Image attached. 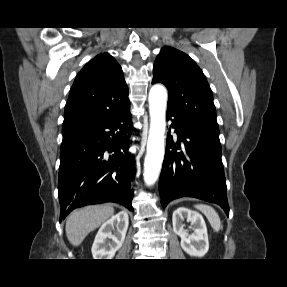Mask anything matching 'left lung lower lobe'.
<instances>
[{
	"label": "left lung lower lobe",
	"mask_w": 287,
	"mask_h": 287,
	"mask_svg": "<svg viewBox=\"0 0 287 287\" xmlns=\"http://www.w3.org/2000/svg\"><path fill=\"white\" fill-rule=\"evenodd\" d=\"M167 120L178 135L169 134L159 180L161 204L180 197H194L220 205L229 216L221 144L194 128L188 121L167 110ZM177 150H180L179 152Z\"/></svg>",
	"instance_id": "1"
}]
</instances>
